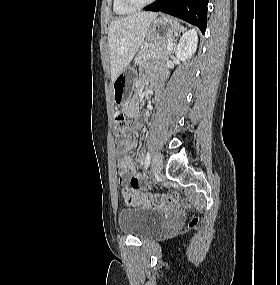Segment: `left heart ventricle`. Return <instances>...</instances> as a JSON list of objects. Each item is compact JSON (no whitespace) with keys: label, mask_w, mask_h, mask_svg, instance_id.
I'll return each instance as SVG.
<instances>
[{"label":"left heart ventricle","mask_w":280,"mask_h":285,"mask_svg":"<svg viewBox=\"0 0 280 285\" xmlns=\"http://www.w3.org/2000/svg\"><path fill=\"white\" fill-rule=\"evenodd\" d=\"M135 1H137V2H143V1H146V0H135Z\"/></svg>","instance_id":"1"}]
</instances>
